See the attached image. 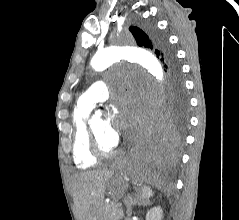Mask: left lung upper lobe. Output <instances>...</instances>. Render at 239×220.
I'll return each mask as SVG.
<instances>
[{
	"label": "left lung upper lobe",
	"instance_id": "obj_1",
	"mask_svg": "<svg viewBox=\"0 0 239 220\" xmlns=\"http://www.w3.org/2000/svg\"><path fill=\"white\" fill-rule=\"evenodd\" d=\"M139 47L155 50L157 57L164 63L166 72L171 81L172 109L170 122L181 130L186 123L187 100L180 77L179 67L175 57L167 45L165 37L154 26L148 25L145 29L130 27Z\"/></svg>",
	"mask_w": 239,
	"mask_h": 220
}]
</instances>
